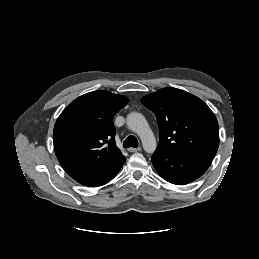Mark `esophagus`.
Segmentation results:
<instances>
[{"label": "esophagus", "mask_w": 259, "mask_h": 259, "mask_svg": "<svg viewBox=\"0 0 259 259\" xmlns=\"http://www.w3.org/2000/svg\"><path fill=\"white\" fill-rule=\"evenodd\" d=\"M128 151L129 152H138V151H141V147H138V148L131 147V148L128 149Z\"/></svg>", "instance_id": "obj_1"}]
</instances>
